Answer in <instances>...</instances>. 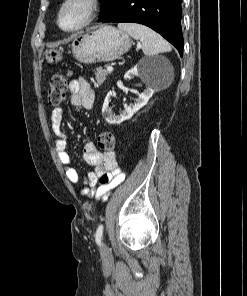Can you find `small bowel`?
Wrapping results in <instances>:
<instances>
[{"mask_svg": "<svg viewBox=\"0 0 247 296\" xmlns=\"http://www.w3.org/2000/svg\"><path fill=\"white\" fill-rule=\"evenodd\" d=\"M68 91L70 104L73 107L90 109L94 104V91L84 78H77L69 82ZM64 111L56 107L51 112V127L56 136L55 150L58 159L65 171V176L71 184L82 182L81 195L93 198L101 203L108 200L111 190L116 187L123 178L118 168L116 159L112 153H101L95 143L88 142L83 147V158L92 166L86 176L81 178L79 171L71 165V159L67 152L69 134L62 129ZM109 177L106 183L101 178Z\"/></svg>", "mask_w": 247, "mask_h": 296, "instance_id": "obj_1", "label": "small bowel"}]
</instances>
